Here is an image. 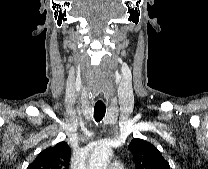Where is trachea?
Wrapping results in <instances>:
<instances>
[{"label":"trachea","mask_w":208,"mask_h":169,"mask_svg":"<svg viewBox=\"0 0 208 169\" xmlns=\"http://www.w3.org/2000/svg\"><path fill=\"white\" fill-rule=\"evenodd\" d=\"M106 113V106L105 105H95L94 106V118L96 122H100Z\"/></svg>","instance_id":"trachea-1"}]
</instances>
